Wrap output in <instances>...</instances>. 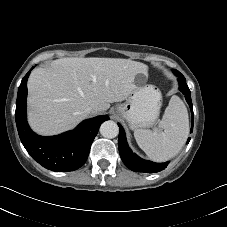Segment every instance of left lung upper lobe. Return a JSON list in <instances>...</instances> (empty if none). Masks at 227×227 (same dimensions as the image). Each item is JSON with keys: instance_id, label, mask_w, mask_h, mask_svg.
<instances>
[{"instance_id": "obj_1", "label": "left lung upper lobe", "mask_w": 227, "mask_h": 227, "mask_svg": "<svg viewBox=\"0 0 227 227\" xmlns=\"http://www.w3.org/2000/svg\"><path fill=\"white\" fill-rule=\"evenodd\" d=\"M173 72H174V73H180V72H179V71H177V70H174Z\"/></svg>"}]
</instances>
